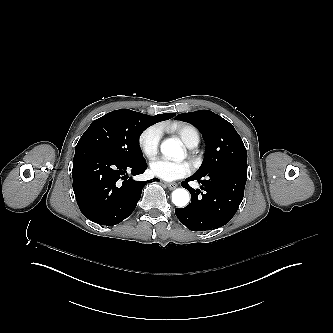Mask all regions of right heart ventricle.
I'll use <instances>...</instances> for the list:
<instances>
[{"mask_svg":"<svg viewBox=\"0 0 333 333\" xmlns=\"http://www.w3.org/2000/svg\"><path fill=\"white\" fill-rule=\"evenodd\" d=\"M158 132L160 134L162 133L161 127H159ZM176 135L179 136L188 147H191L194 143L196 145L199 143L198 131L190 125L179 126L176 131Z\"/></svg>","mask_w":333,"mask_h":333,"instance_id":"obj_1","label":"right heart ventricle"}]
</instances>
